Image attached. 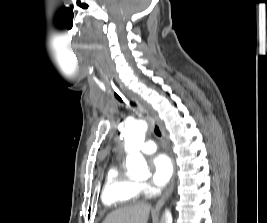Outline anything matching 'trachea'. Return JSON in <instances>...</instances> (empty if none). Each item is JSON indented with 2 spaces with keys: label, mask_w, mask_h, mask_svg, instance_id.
<instances>
[{
  "label": "trachea",
  "mask_w": 267,
  "mask_h": 223,
  "mask_svg": "<svg viewBox=\"0 0 267 223\" xmlns=\"http://www.w3.org/2000/svg\"><path fill=\"white\" fill-rule=\"evenodd\" d=\"M113 83L117 87V84L114 81H113ZM114 96L119 102L123 103L121 94L119 92L118 93L115 92ZM154 132L158 137H161V132H160V129H159L158 125H155Z\"/></svg>",
  "instance_id": "3493384b"
}]
</instances>
